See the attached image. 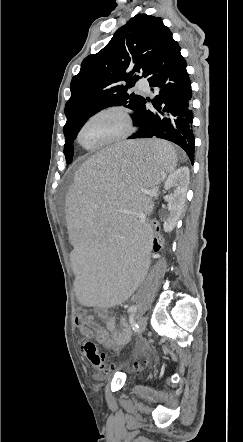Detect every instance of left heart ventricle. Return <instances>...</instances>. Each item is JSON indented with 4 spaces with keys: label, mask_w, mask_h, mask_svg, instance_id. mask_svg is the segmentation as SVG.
I'll return each instance as SVG.
<instances>
[{
    "label": "left heart ventricle",
    "mask_w": 243,
    "mask_h": 442,
    "mask_svg": "<svg viewBox=\"0 0 243 442\" xmlns=\"http://www.w3.org/2000/svg\"><path fill=\"white\" fill-rule=\"evenodd\" d=\"M124 128V121L118 114H104L86 124L81 140L87 146H95L116 137Z\"/></svg>",
    "instance_id": "obj_1"
}]
</instances>
